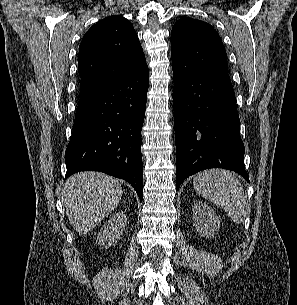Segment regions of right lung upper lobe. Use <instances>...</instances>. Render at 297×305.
I'll return each mask as SVG.
<instances>
[{
	"mask_svg": "<svg viewBox=\"0 0 297 305\" xmlns=\"http://www.w3.org/2000/svg\"><path fill=\"white\" fill-rule=\"evenodd\" d=\"M146 66L132 24L120 15L100 20L85 33L79 46L80 98Z\"/></svg>",
	"mask_w": 297,
	"mask_h": 305,
	"instance_id": "cb5924a9",
	"label": "right lung upper lobe"
}]
</instances>
